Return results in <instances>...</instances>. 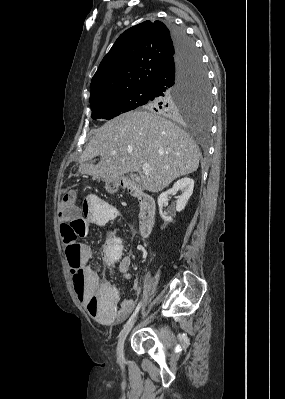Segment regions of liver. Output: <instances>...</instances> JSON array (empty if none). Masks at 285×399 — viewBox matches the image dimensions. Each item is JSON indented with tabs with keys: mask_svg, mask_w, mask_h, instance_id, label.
Segmentation results:
<instances>
[{
	"mask_svg": "<svg viewBox=\"0 0 285 399\" xmlns=\"http://www.w3.org/2000/svg\"><path fill=\"white\" fill-rule=\"evenodd\" d=\"M100 156L97 164L92 159ZM198 146L180 127L149 111H132L100 127L79 159V173L105 181L137 172L136 181L159 192L175 179L195 172ZM153 170L142 172L143 164Z\"/></svg>",
	"mask_w": 285,
	"mask_h": 399,
	"instance_id": "obj_1",
	"label": "liver"
}]
</instances>
